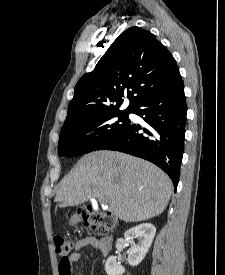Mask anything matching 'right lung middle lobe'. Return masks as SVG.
Instances as JSON below:
<instances>
[{
	"label": "right lung middle lobe",
	"instance_id": "dd1d6c3e",
	"mask_svg": "<svg viewBox=\"0 0 225 275\" xmlns=\"http://www.w3.org/2000/svg\"><path fill=\"white\" fill-rule=\"evenodd\" d=\"M129 113L130 110L106 111L62 127L58 143L59 154L74 157L98 150L127 126Z\"/></svg>",
	"mask_w": 225,
	"mask_h": 275
}]
</instances>
